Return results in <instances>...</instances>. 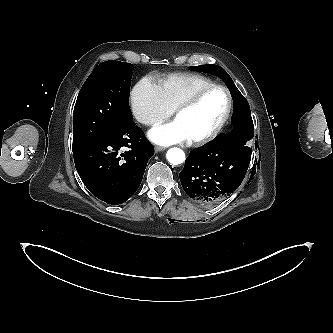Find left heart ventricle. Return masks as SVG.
I'll return each instance as SVG.
<instances>
[{"label": "left heart ventricle", "instance_id": "b2bd125f", "mask_svg": "<svg viewBox=\"0 0 333 333\" xmlns=\"http://www.w3.org/2000/svg\"><path fill=\"white\" fill-rule=\"evenodd\" d=\"M226 108V93L215 89L207 93L197 105L178 115L175 120L191 140L212 131L223 118Z\"/></svg>", "mask_w": 333, "mask_h": 333}]
</instances>
